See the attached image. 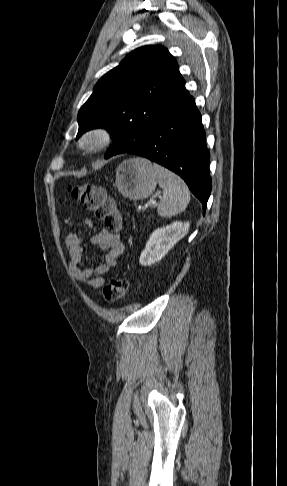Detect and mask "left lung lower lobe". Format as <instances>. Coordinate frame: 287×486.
Masks as SVG:
<instances>
[{
	"mask_svg": "<svg viewBox=\"0 0 287 486\" xmlns=\"http://www.w3.org/2000/svg\"><path fill=\"white\" fill-rule=\"evenodd\" d=\"M128 153L145 157L180 175L205 210L211 193L210 154L194 98L186 90L145 140Z\"/></svg>",
	"mask_w": 287,
	"mask_h": 486,
	"instance_id": "left-lung-lower-lobe-1",
	"label": "left lung lower lobe"
}]
</instances>
